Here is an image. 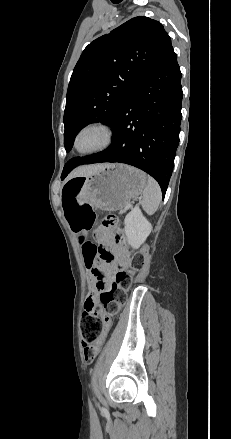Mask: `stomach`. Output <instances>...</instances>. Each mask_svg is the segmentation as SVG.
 I'll return each instance as SVG.
<instances>
[{
	"instance_id": "stomach-1",
	"label": "stomach",
	"mask_w": 231,
	"mask_h": 439,
	"mask_svg": "<svg viewBox=\"0 0 231 439\" xmlns=\"http://www.w3.org/2000/svg\"><path fill=\"white\" fill-rule=\"evenodd\" d=\"M82 186L76 195L79 204L115 211L124 208L132 198L142 194L147 176L124 164H108L89 176L81 177Z\"/></svg>"
}]
</instances>
